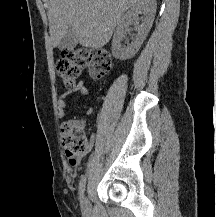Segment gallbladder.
I'll list each match as a JSON object with an SVG mask.
<instances>
[{
  "mask_svg": "<svg viewBox=\"0 0 216 217\" xmlns=\"http://www.w3.org/2000/svg\"><path fill=\"white\" fill-rule=\"evenodd\" d=\"M77 44H78V38H77L76 31L72 27H69L66 34L60 41L58 48L60 50L73 49Z\"/></svg>",
  "mask_w": 216,
  "mask_h": 217,
  "instance_id": "1",
  "label": "gallbladder"
}]
</instances>
